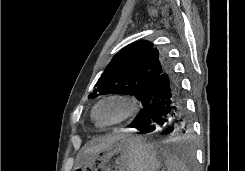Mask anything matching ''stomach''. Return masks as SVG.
I'll use <instances>...</instances> for the list:
<instances>
[{
    "mask_svg": "<svg viewBox=\"0 0 245 171\" xmlns=\"http://www.w3.org/2000/svg\"><path fill=\"white\" fill-rule=\"evenodd\" d=\"M161 153L141 136L120 134L110 147L82 157L74 171H159Z\"/></svg>",
    "mask_w": 245,
    "mask_h": 171,
    "instance_id": "0dacf381",
    "label": "stomach"
}]
</instances>
